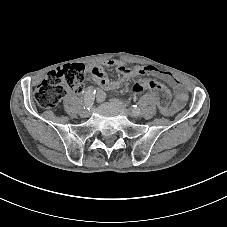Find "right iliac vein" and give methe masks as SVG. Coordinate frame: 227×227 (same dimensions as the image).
Returning <instances> with one entry per match:
<instances>
[{
	"label": "right iliac vein",
	"mask_w": 227,
	"mask_h": 227,
	"mask_svg": "<svg viewBox=\"0 0 227 227\" xmlns=\"http://www.w3.org/2000/svg\"><path fill=\"white\" fill-rule=\"evenodd\" d=\"M81 114H82V116H84V117H88V116L90 115V111L87 110V109H85V110L82 111Z\"/></svg>",
	"instance_id": "obj_1"
}]
</instances>
